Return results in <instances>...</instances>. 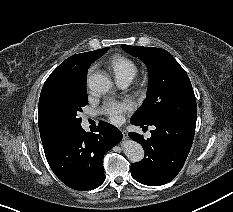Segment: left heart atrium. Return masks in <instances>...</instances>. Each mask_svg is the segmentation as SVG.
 I'll list each match as a JSON object with an SVG mask.
<instances>
[{
  "label": "left heart atrium",
  "mask_w": 233,
  "mask_h": 212,
  "mask_svg": "<svg viewBox=\"0 0 233 212\" xmlns=\"http://www.w3.org/2000/svg\"><path fill=\"white\" fill-rule=\"evenodd\" d=\"M131 109L132 104L127 100H110L104 104L102 110L112 122L119 123L122 120L123 114L130 111Z\"/></svg>",
  "instance_id": "left-heart-atrium-1"
}]
</instances>
